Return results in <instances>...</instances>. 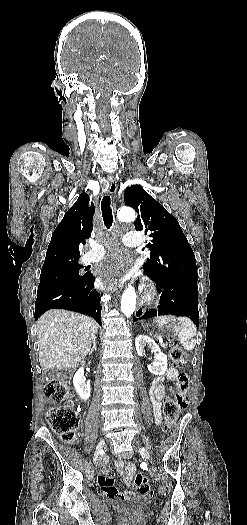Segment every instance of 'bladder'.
Returning <instances> with one entry per match:
<instances>
[{"mask_svg":"<svg viewBox=\"0 0 247 525\" xmlns=\"http://www.w3.org/2000/svg\"><path fill=\"white\" fill-rule=\"evenodd\" d=\"M152 505V498L145 495H136L132 499H125L117 502L113 509L119 513H133L141 509H146Z\"/></svg>","mask_w":247,"mask_h":525,"instance_id":"bladder-1","label":"bladder"}]
</instances>
